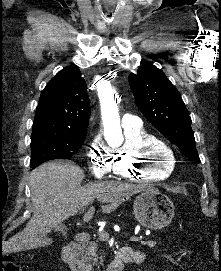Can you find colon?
<instances>
[{
	"instance_id": "colon-1",
	"label": "colon",
	"mask_w": 221,
	"mask_h": 271,
	"mask_svg": "<svg viewBox=\"0 0 221 271\" xmlns=\"http://www.w3.org/2000/svg\"><path fill=\"white\" fill-rule=\"evenodd\" d=\"M0 271H24V266L16 263L11 255H6L0 261Z\"/></svg>"
}]
</instances>
